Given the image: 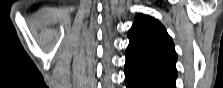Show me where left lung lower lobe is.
Segmentation results:
<instances>
[{"instance_id":"left-lung-lower-lobe-1","label":"left lung lower lobe","mask_w":223,"mask_h":88,"mask_svg":"<svg viewBox=\"0 0 223 88\" xmlns=\"http://www.w3.org/2000/svg\"><path fill=\"white\" fill-rule=\"evenodd\" d=\"M175 80L166 75L125 64L127 88H176Z\"/></svg>"}]
</instances>
